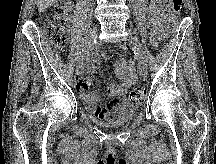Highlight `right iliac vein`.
<instances>
[{
    "label": "right iliac vein",
    "mask_w": 216,
    "mask_h": 164,
    "mask_svg": "<svg viewBox=\"0 0 216 164\" xmlns=\"http://www.w3.org/2000/svg\"><path fill=\"white\" fill-rule=\"evenodd\" d=\"M96 32H97L96 26L92 27L89 31V34L86 38L85 47L83 48V53L79 56L78 61H77V70H76L77 74H80L84 67L86 49L88 46H90L93 43L95 36H96Z\"/></svg>",
    "instance_id": "obj_1"
}]
</instances>
